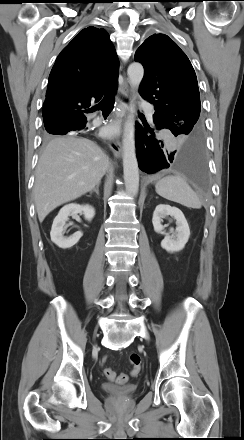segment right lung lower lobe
I'll use <instances>...</instances> for the list:
<instances>
[{
    "label": "right lung lower lobe",
    "instance_id": "98d812e1",
    "mask_svg": "<svg viewBox=\"0 0 244 440\" xmlns=\"http://www.w3.org/2000/svg\"><path fill=\"white\" fill-rule=\"evenodd\" d=\"M87 120L81 121V122H74V121H66L62 122L61 125H55L52 127L53 129L59 128L63 135L67 134L70 131H83L85 130Z\"/></svg>",
    "mask_w": 244,
    "mask_h": 440
}]
</instances>
